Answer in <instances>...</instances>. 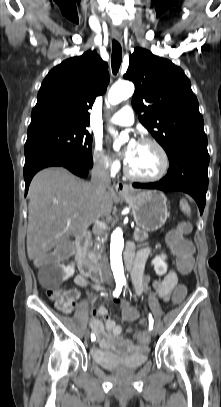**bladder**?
<instances>
[{"mask_svg":"<svg viewBox=\"0 0 221 407\" xmlns=\"http://www.w3.org/2000/svg\"><path fill=\"white\" fill-rule=\"evenodd\" d=\"M91 360L98 366L114 371L133 370L147 362L146 349L127 353L123 349H102L93 347L90 350Z\"/></svg>","mask_w":221,"mask_h":407,"instance_id":"31cf9c89","label":"bladder"}]
</instances>
